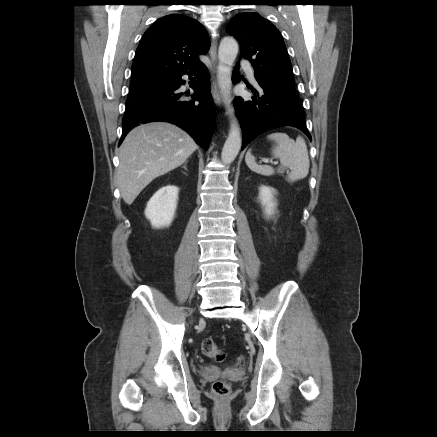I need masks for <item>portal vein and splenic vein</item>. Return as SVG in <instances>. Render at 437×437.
Masks as SVG:
<instances>
[{
	"instance_id": "portal-vein-and-splenic-vein-1",
	"label": "portal vein and splenic vein",
	"mask_w": 437,
	"mask_h": 437,
	"mask_svg": "<svg viewBox=\"0 0 437 437\" xmlns=\"http://www.w3.org/2000/svg\"><path fill=\"white\" fill-rule=\"evenodd\" d=\"M264 162L265 163H269L270 162V163H273L274 165L278 164V162H276V161L273 162V161H269V160H264Z\"/></svg>"
}]
</instances>
